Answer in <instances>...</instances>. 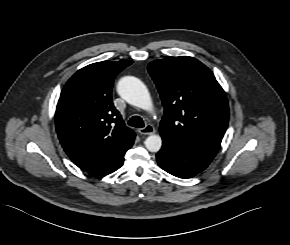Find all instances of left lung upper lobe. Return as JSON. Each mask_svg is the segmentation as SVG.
<instances>
[{"mask_svg": "<svg viewBox=\"0 0 290 245\" xmlns=\"http://www.w3.org/2000/svg\"><path fill=\"white\" fill-rule=\"evenodd\" d=\"M165 113L161 136L215 156L229 121L226 94L213 73L193 57H166L148 65Z\"/></svg>", "mask_w": 290, "mask_h": 245, "instance_id": "1", "label": "left lung upper lobe"}]
</instances>
